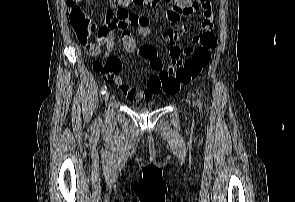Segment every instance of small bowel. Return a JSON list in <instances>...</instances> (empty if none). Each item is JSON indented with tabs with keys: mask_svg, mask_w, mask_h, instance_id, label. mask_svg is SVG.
Listing matches in <instances>:
<instances>
[{
	"mask_svg": "<svg viewBox=\"0 0 295 202\" xmlns=\"http://www.w3.org/2000/svg\"><path fill=\"white\" fill-rule=\"evenodd\" d=\"M84 0H72L68 2L69 6H80ZM201 11L202 15V31L207 29H213V11L210 0H176V4L170 7L167 11L168 19L171 22H178L181 15L190 16L194 13ZM130 14V13H129ZM134 15V14H130ZM138 22V34L142 39H147L150 36L151 29L149 26V17L146 15H137ZM119 25V20L116 18V11L108 10L104 24L98 30V41L94 44L86 46V50L90 55H98L101 52L102 47H106L109 55V51L114 46V37L111 32L112 26ZM121 34L122 44L127 53H133L136 49V42L131 32L122 27ZM165 39L168 41V55L171 63L176 62L182 55V48L176 41V36L173 33H166ZM192 45H187L184 51L192 48ZM140 54L147 58L150 62V66L153 71L160 72L165 69L164 62L159 55L157 48L153 45L147 44L140 49ZM105 63H95V70L104 75L107 80L112 81L118 85L125 93L126 97L134 101H149L154 96V92L146 89H134L126 84L122 79L116 75H121L120 68L123 67L122 59H105ZM170 63V64H171Z\"/></svg>",
	"mask_w": 295,
	"mask_h": 202,
	"instance_id": "small-bowel-1",
	"label": "small bowel"
}]
</instances>
